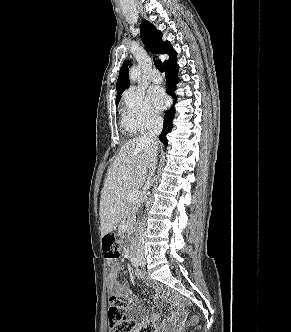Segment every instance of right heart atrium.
<instances>
[{
  "mask_svg": "<svg viewBox=\"0 0 291 332\" xmlns=\"http://www.w3.org/2000/svg\"><path fill=\"white\" fill-rule=\"evenodd\" d=\"M123 122L127 129L141 133L161 123V118L143 91L130 88L123 95Z\"/></svg>",
  "mask_w": 291,
  "mask_h": 332,
  "instance_id": "d8ad5b80",
  "label": "right heart atrium"
}]
</instances>
